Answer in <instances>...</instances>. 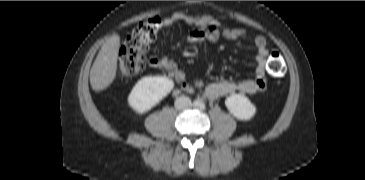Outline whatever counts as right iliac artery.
Returning <instances> with one entry per match:
<instances>
[{
    "instance_id": "obj_1",
    "label": "right iliac artery",
    "mask_w": 365,
    "mask_h": 180,
    "mask_svg": "<svg viewBox=\"0 0 365 180\" xmlns=\"http://www.w3.org/2000/svg\"><path fill=\"white\" fill-rule=\"evenodd\" d=\"M194 105L195 106H198L199 105V102L198 101H194Z\"/></svg>"
}]
</instances>
